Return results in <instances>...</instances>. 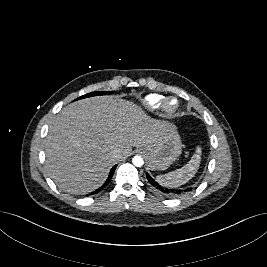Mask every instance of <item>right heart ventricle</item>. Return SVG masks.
Masks as SVG:
<instances>
[{
	"label": "right heart ventricle",
	"mask_w": 267,
	"mask_h": 267,
	"mask_svg": "<svg viewBox=\"0 0 267 267\" xmlns=\"http://www.w3.org/2000/svg\"><path fill=\"white\" fill-rule=\"evenodd\" d=\"M163 101V96L159 94H150L145 97L144 99V105L150 109V110H156L160 107L161 103Z\"/></svg>",
	"instance_id": "obj_1"
}]
</instances>
